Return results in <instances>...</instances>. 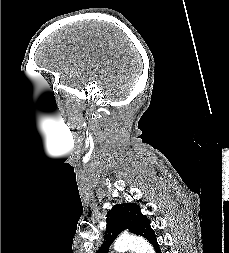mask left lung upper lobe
<instances>
[{
	"label": "left lung upper lobe",
	"instance_id": "obj_1",
	"mask_svg": "<svg viewBox=\"0 0 229 253\" xmlns=\"http://www.w3.org/2000/svg\"><path fill=\"white\" fill-rule=\"evenodd\" d=\"M106 216L105 242L96 253H108L110 244L125 229L146 238L151 244L156 241L154 230L151 228L147 216L141 213L139 205L134 203L116 204Z\"/></svg>",
	"mask_w": 229,
	"mask_h": 253
}]
</instances>
